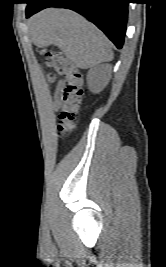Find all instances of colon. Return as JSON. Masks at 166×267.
Here are the masks:
<instances>
[{
	"label": "colon",
	"mask_w": 166,
	"mask_h": 267,
	"mask_svg": "<svg viewBox=\"0 0 166 267\" xmlns=\"http://www.w3.org/2000/svg\"><path fill=\"white\" fill-rule=\"evenodd\" d=\"M47 66L64 78L61 109L58 114V135L64 138L75 127V119L84 96L82 72L59 50L44 51ZM53 79V76H50Z\"/></svg>",
	"instance_id": "obj_1"
}]
</instances>
